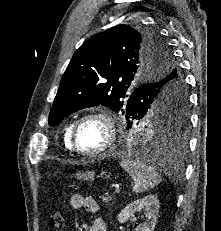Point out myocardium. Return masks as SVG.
I'll list each match as a JSON object with an SVG mask.
<instances>
[{
	"instance_id": "f54148a6",
	"label": "myocardium",
	"mask_w": 221,
	"mask_h": 231,
	"mask_svg": "<svg viewBox=\"0 0 221 231\" xmlns=\"http://www.w3.org/2000/svg\"><path fill=\"white\" fill-rule=\"evenodd\" d=\"M89 119L102 120L107 127L108 136H107V140L105 144L102 147L94 151H83L79 149V147L77 146L76 136H77V131L80 125L84 121L89 120ZM117 138H118V129H117L116 118L114 117V115L108 110H92L80 116L73 123L72 129H71L70 143H71L72 150L75 153L81 156H84V157H97V156H100L108 152L112 148H114L117 142Z\"/></svg>"
}]
</instances>
